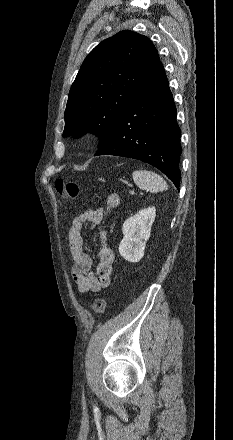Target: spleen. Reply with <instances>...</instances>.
<instances>
[{"label":"spleen","instance_id":"3e777b00","mask_svg":"<svg viewBox=\"0 0 233 440\" xmlns=\"http://www.w3.org/2000/svg\"><path fill=\"white\" fill-rule=\"evenodd\" d=\"M135 184L143 190L153 193L168 189L166 181L157 173L148 170H136L132 173Z\"/></svg>","mask_w":233,"mask_h":440}]
</instances>
